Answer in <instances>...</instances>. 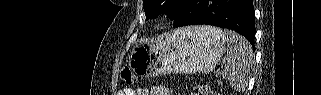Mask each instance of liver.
Masks as SVG:
<instances>
[{
  "label": "liver",
  "mask_w": 321,
  "mask_h": 95,
  "mask_svg": "<svg viewBox=\"0 0 321 95\" xmlns=\"http://www.w3.org/2000/svg\"><path fill=\"white\" fill-rule=\"evenodd\" d=\"M191 30H195L197 32H201L202 34H204L202 31H201V27H190Z\"/></svg>",
  "instance_id": "1"
}]
</instances>
